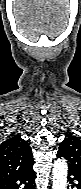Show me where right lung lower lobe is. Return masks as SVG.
<instances>
[{"label": "right lung lower lobe", "instance_id": "98d812e1", "mask_svg": "<svg viewBox=\"0 0 81 189\" xmlns=\"http://www.w3.org/2000/svg\"><path fill=\"white\" fill-rule=\"evenodd\" d=\"M33 164L12 177L1 180L0 189H35L36 175L33 170Z\"/></svg>", "mask_w": 81, "mask_h": 189}]
</instances>
